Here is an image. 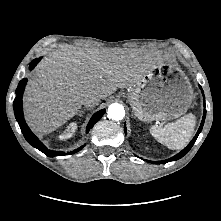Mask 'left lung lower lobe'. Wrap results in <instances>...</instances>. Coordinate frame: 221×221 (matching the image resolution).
Segmentation results:
<instances>
[{
  "mask_svg": "<svg viewBox=\"0 0 221 221\" xmlns=\"http://www.w3.org/2000/svg\"><path fill=\"white\" fill-rule=\"evenodd\" d=\"M200 89H201V91H202V93H203V90H202L201 86H200ZM203 95H204V93H203ZM205 116H206V110H204L202 122H201V125H200V127H199L198 132L196 133L195 137L192 139V141L188 144V146H187L185 149H183L180 153H178L177 155L173 156L172 158H169V159L164 160V161H154L153 163H154V164L167 163V162H170V161L178 160V159L182 158L184 155H186V154L188 153V151H189V150L192 148V146L194 145V143H195V141H196L198 135L200 134V132H201V130H202V128H203V124H204V121H205ZM124 130H125V132H126V126H125V125H124Z\"/></svg>",
  "mask_w": 221,
  "mask_h": 221,
  "instance_id": "obj_1",
  "label": "left lung lower lobe"
}]
</instances>
